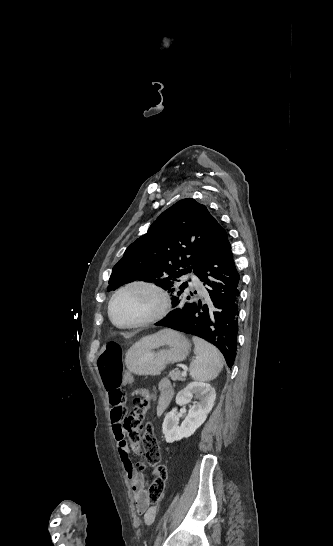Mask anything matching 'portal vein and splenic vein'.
<instances>
[{"mask_svg":"<svg viewBox=\"0 0 333 546\" xmlns=\"http://www.w3.org/2000/svg\"><path fill=\"white\" fill-rule=\"evenodd\" d=\"M187 375V372L186 371H183L182 372V376H186Z\"/></svg>","mask_w":333,"mask_h":546,"instance_id":"18ae733b","label":"portal vein and splenic vein"}]
</instances>
